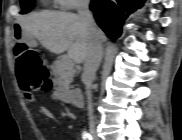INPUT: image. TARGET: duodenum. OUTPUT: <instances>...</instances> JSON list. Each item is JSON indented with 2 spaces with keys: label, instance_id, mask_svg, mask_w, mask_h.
I'll return each instance as SVG.
<instances>
[{
  "label": "duodenum",
  "instance_id": "1",
  "mask_svg": "<svg viewBox=\"0 0 182 140\" xmlns=\"http://www.w3.org/2000/svg\"><path fill=\"white\" fill-rule=\"evenodd\" d=\"M68 102L71 103L72 105L76 106V107H81L84 103V100H83V97L80 93L73 92L70 95Z\"/></svg>",
  "mask_w": 182,
  "mask_h": 140
}]
</instances>
